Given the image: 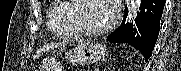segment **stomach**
<instances>
[{"label":"stomach","instance_id":"stomach-1","mask_svg":"<svg viewBox=\"0 0 181 71\" xmlns=\"http://www.w3.org/2000/svg\"><path fill=\"white\" fill-rule=\"evenodd\" d=\"M107 53V49L103 45L98 44H80L73 51L68 53V58L72 63H95L103 58ZM54 66H48L46 62L40 66L41 71H55Z\"/></svg>","mask_w":181,"mask_h":71}]
</instances>
